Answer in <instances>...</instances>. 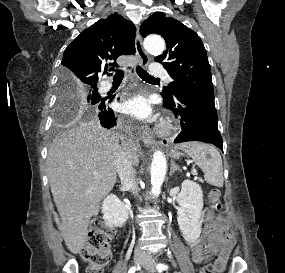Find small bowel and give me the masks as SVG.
<instances>
[{
	"mask_svg": "<svg viewBox=\"0 0 285 273\" xmlns=\"http://www.w3.org/2000/svg\"><path fill=\"white\" fill-rule=\"evenodd\" d=\"M204 237L200 243L192 247V260L195 264H203L215 258L214 264L218 273L225 270L234 238L228 234L230 223L222 216H215L214 212L204 209Z\"/></svg>",
	"mask_w": 285,
	"mask_h": 273,
	"instance_id": "c3829d8e",
	"label": "small bowel"
}]
</instances>
